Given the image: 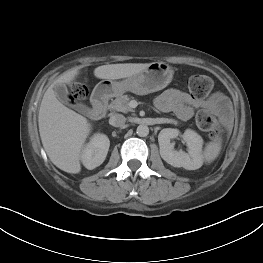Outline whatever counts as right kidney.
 Instances as JSON below:
<instances>
[{
	"label": "right kidney",
	"mask_w": 263,
	"mask_h": 263,
	"mask_svg": "<svg viewBox=\"0 0 263 263\" xmlns=\"http://www.w3.org/2000/svg\"><path fill=\"white\" fill-rule=\"evenodd\" d=\"M110 141L104 134H95L81 153L83 165L92 170L100 166L108 153Z\"/></svg>",
	"instance_id": "1"
}]
</instances>
